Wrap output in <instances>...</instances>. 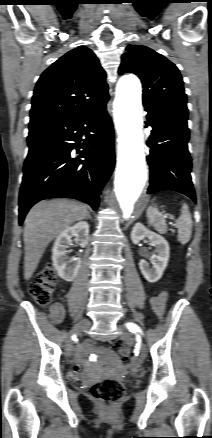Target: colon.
I'll return each mask as SVG.
<instances>
[{
    "instance_id": "5ec220e1",
    "label": "colon",
    "mask_w": 212,
    "mask_h": 438,
    "mask_svg": "<svg viewBox=\"0 0 212 438\" xmlns=\"http://www.w3.org/2000/svg\"><path fill=\"white\" fill-rule=\"evenodd\" d=\"M57 283L56 271L52 265H48L40 271L37 279L31 283L29 287L30 295L39 305H46L51 301ZM112 344L122 357L127 358L129 356L130 350L124 343L113 341ZM124 391L123 383L114 378H106L91 386L90 395L105 408H111L123 397Z\"/></svg>"
}]
</instances>
